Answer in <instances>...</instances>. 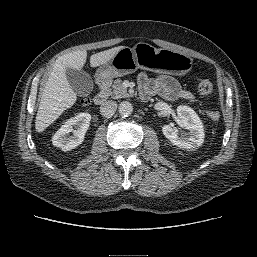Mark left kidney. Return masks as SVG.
Returning <instances> with one entry per match:
<instances>
[{
	"label": "left kidney",
	"mask_w": 257,
	"mask_h": 257,
	"mask_svg": "<svg viewBox=\"0 0 257 257\" xmlns=\"http://www.w3.org/2000/svg\"><path fill=\"white\" fill-rule=\"evenodd\" d=\"M177 115L180 118L181 127L188 130L179 136L173 124L164 125L162 131L164 136L174 145L184 149H196L204 141L203 124L195 111L185 105L177 107Z\"/></svg>",
	"instance_id": "1"
}]
</instances>
